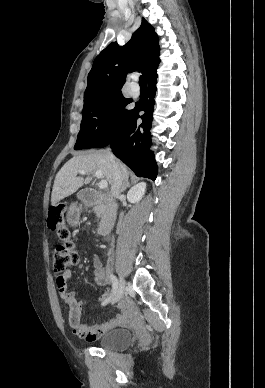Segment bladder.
Wrapping results in <instances>:
<instances>
[{
	"label": "bladder",
	"instance_id": "1",
	"mask_svg": "<svg viewBox=\"0 0 265 388\" xmlns=\"http://www.w3.org/2000/svg\"><path fill=\"white\" fill-rule=\"evenodd\" d=\"M132 335L128 329H115L100 338L102 349L126 348L131 345Z\"/></svg>",
	"mask_w": 265,
	"mask_h": 388
}]
</instances>
